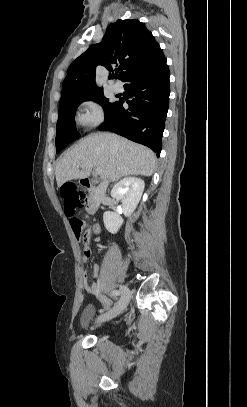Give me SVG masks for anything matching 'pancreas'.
I'll use <instances>...</instances> for the list:
<instances>
[{
    "label": "pancreas",
    "mask_w": 247,
    "mask_h": 407,
    "mask_svg": "<svg viewBox=\"0 0 247 407\" xmlns=\"http://www.w3.org/2000/svg\"><path fill=\"white\" fill-rule=\"evenodd\" d=\"M93 198H94V197H93V195H92L90 199L92 200Z\"/></svg>",
    "instance_id": "obj_1"
}]
</instances>
